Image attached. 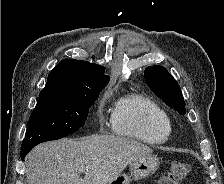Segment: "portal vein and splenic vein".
<instances>
[{
  "instance_id": "18ae733b",
  "label": "portal vein and splenic vein",
  "mask_w": 224,
  "mask_h": 184,
  "mask_svg": "<svg viewBox=\"0 0 224 184\" xmlns=\"http://www.w3.org/2000/svg\"><path fill=\"white\" fill-rule=\"evenodd\" d=\"M88 169L87 168H85V167H81L80 168V171H87Z\"/></svg>"
}]
</instances>
